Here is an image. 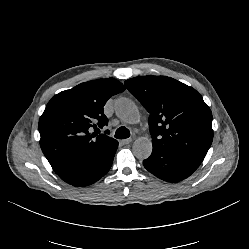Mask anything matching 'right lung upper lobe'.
<instances>
[{"instance_id":"right-lung-upper-lobe-1","label":"right lung upper lobe","mask_w":249,"mask_h":249,"mask_svg":"<svg viewBox=\"0 0 249 249\" xmlns=\"http://www.w3.org/2000/svg\"><path fill=\"white\" fill-rule=\"evenodd\" d=\"M124 90L114 78L97 79L62 91L48 102L39 120L40 146L57 175L82 166L116 141L90 132L108 124L103 107Z\"/></svg>"}]
</instances>
